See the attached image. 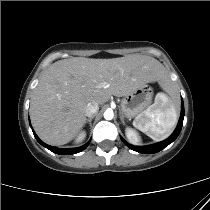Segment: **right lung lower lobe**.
<instances>
[{"label": "right lung lower lobe", "mask_w": 210, "mask_h": 210, "mask_svg": "<svg viewBox=\"0 0 210 210\" xmlns=\"http://www.w3.org/2000/svg\"><path fill=\"white\" fill-rule=\"evenodd\" d=\"M34 133V131H33ZM34 136L35 138L37 139V141L43 145L44 147H46L47 149H49L50 151L54 152V153H57V154H61V155H69V154H75V153H78V152H81L82 150H84L89 142L81 147H78V148H70V149H61V148H56V147H52V146H49L45 143H43L38 137L37 135L34 133Z\"/></svg>", "instance_id": "98d812e1"}]
</instances>
